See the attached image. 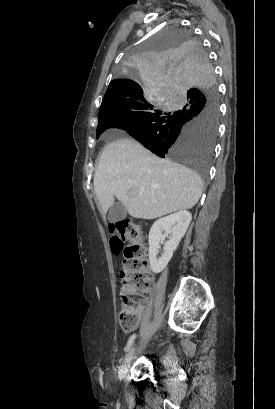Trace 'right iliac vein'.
I'll use <instances>...</instances> for the list:
<instances>
[{"mask_svg": "<svg viewBox=\"0 0 275 409\" xmlns=\"http://www.w3.org/2000/svg\"><path fill=\"white\" fill-rule=\"evenodd\" d=\"M134 350H135L134 348L130 349V351L128 352V354H127V356H126V358L124 360V362L122 363V365L120 367V370H119L120 380H124L125 377H126V373H127V370H128V368L130 366V361H131L132 356L134 354Z\"/></svg>", "mask_w": 275, "mask_h": 409, "instance_id": "1", "label": "right iliac vein"}]
</instances>
